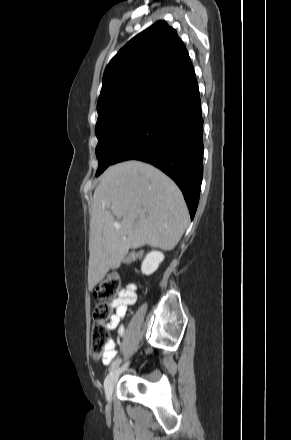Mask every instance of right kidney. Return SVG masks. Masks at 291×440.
Segmentation results:
<instances>
[{
  "label": "right kidney",
  "instance_id": "obj_1",
  "mask_svg": "<svg viewBox=\"0 0 291 440\" xmlns=\"http://www.w3.org/2000/svg\"><path fill=\"white\" fill-rule=\"evenodd\" d=\"M164 260V255L160 251H151L149 252L141 265V271L145 275H150L154 273L159 264Z\"/></svg>",
  "mask_w": 291,
  "mask_h": 440
}]
</instances>
